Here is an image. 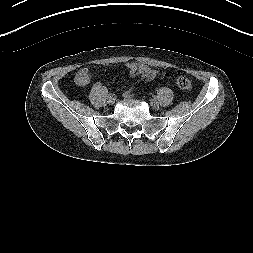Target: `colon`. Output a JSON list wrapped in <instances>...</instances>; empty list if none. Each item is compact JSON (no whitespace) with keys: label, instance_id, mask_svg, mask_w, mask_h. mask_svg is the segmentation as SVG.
<instances>
[{"label":"colon","instance_id":"obj_1","mask_svg":"<svg viewBox=\"0 0 253 253\" xmlns=\"http://www.w3.org/2000/svg\"><path fill=\"white\" fill-rule=\"evenodd\" d=\"M165 76H169L168 73H165ZM176 83L178 85V87L181 89V90H184V91H190L192 89V84H191V81L184 77V76H179L177 79H176ZM134 94L133 93H128L127 96L128 97H132Z\"/></svg>","mask_w":253,"mask_h":253}]
</instances>
